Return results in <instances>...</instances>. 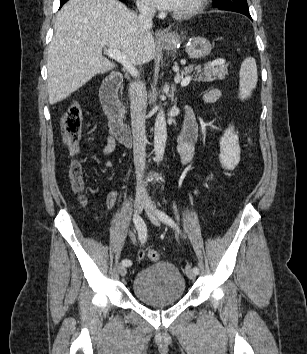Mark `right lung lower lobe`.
Here are the masks:
<instances>
[{"label": "right lung lower lobe", "mask_w": 307, "mask_h": 354, "mask_svg": "<svg viewBox=\"0 0 307 354\" xmlns=\"http://www.w3.org/2000/svg\"><path fill=\"white\" fill-rule=\"evenodd\" d=\"M61 3H60V7L67 1V0H60ZM120 1H124V0H120Z\"/></svg>", "instance_id": "right-lung-lower-lobe-1"}]
</instances>
